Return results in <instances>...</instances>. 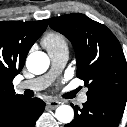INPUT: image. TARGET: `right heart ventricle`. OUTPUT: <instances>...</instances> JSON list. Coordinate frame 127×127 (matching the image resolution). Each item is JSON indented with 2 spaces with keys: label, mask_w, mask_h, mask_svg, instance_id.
I'll list each match as a JSON object with an SVG mask.
<instances>
[{
  "label": "right heart ventricle",
  "mask_w": 127,
  "mask_h": 127,
  "mask_svg": "<svg viewBox=\"0 0 127 127\" xmlns=\"http://www.w3.org/2000/svg\"><path fill=\"white\" fill-rule=\"evenodd\" d=\"M43 46L48 50V52H56L62 49L68 50V45L65 37L55 31H49L46 33L42 39Z\"/></svg>",
  "instance_id": "1"
}]
</instances>
